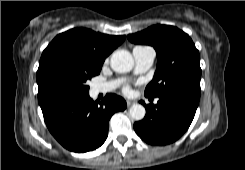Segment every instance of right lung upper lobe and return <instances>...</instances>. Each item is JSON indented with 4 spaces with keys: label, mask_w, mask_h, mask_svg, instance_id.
I'll use <instances>...</instances> for the list:
<instances>
[{
    "label": "right lung upper lobe",
    "mask_w": 245,
    "mask_h": 170,
    "mask_svg": "<svg viewBox=\"0 0 245 170\" xmlns=\"http://www.w3.org/2000/svg\"><path fill=\"white\" fill-rule=\"evenodd\" d=\"M125 36L96 33L86 28H74L57 35L43 51L39 67L60 60L91 69L102 67L105 58L117 48Z\"/></svg>",
    "instance_id": "right-lung-upper-lobe-1"
}]
</instances>
